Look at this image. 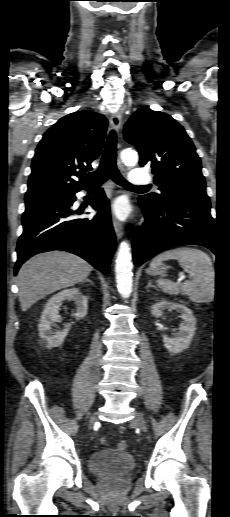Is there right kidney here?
<instances>
[{
    "label": "right kidney",
    "mask_w": 230,
    "mask_h": 517,
    "mask_svg": "<svg viewBox=\"0 0 230 517\" xmlns=\"http://www.w3.org/2000/svg\"><path fill=\"white\" fill-rule=\"evenodd\" d=\"M65 300L74 301L76 318L81 319L87 315L88 299L78 288L66 289L52 296L45 305L38 325L40 344L46 348L62 345L71 328L69 323L62 330H52V326L56 327V323L61 322L59 309Z\"/></svg>",
    "instance_id": "obj_1"
}]
</instances>
